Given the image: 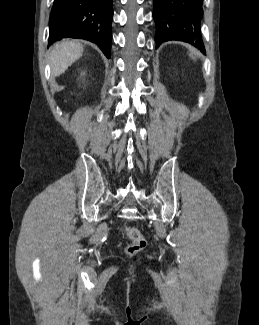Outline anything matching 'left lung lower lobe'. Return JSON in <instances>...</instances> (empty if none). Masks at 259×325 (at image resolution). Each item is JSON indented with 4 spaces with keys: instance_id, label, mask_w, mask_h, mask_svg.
<instances>
[{
    "instance_id": "0a47b994",
    "label": "left lung lower lobe",
    "mask_w": 259,
    "mask_h": 325,
    "mask_svg": "<svg viewBox=\"0 0 259 325\" xmlns=\"http://www.w3.org/2000/svg\"><path fill=\"white\" fill-rule=\"evenodd\" d=\"M203 0H154L155 42L179 40L205 52L201 35Z\"/></svg>"
}]
</instances>
